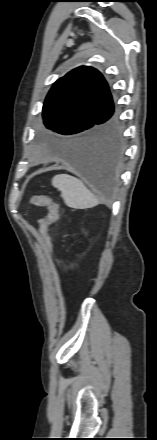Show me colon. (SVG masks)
I'll list each match as a JSON object with an SVG mask.
<instances>
[{"instance_id": "1", "label": "colon", "mask_w": 157, "mask_h": 440, "mask_svg": "<svg viewBox=\"0 0 157 440\" xmlns=\"http://www.w3.org/2000/svg\"><path fill=\"white\" fill-rule=\"evenodd\" d=\"M31 202L36 206L48 209L47 219L41 224L40 230L44 237L46 250L52 254V244L49 230L50 226L59 218V206L51 198L44 195L33 196Z\"/></svg>"}]
</instances>
